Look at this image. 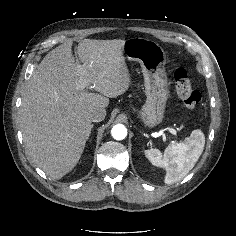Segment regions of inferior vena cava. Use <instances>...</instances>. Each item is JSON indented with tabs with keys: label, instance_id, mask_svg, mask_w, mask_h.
I'll use <instances>...</instances> for the list:
<instances>
[{
	"label": "inferior vena cava",
	"instance_id": "obj_1",
	"mask_svg": "<svg viewBox=\"0 0 236 236\" xmlns=\"http://www.w3.org/2000/svg\"><path fill=\"white\" fill-rule=\"evenodd\" d=\"M105 116L106 110L103 108L92 109L88 114V118L91 122H100L105 118Z\"/></svg>",
	"mask_w": 236,
	"mask_h": 236
}]
</instances>
